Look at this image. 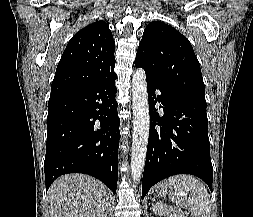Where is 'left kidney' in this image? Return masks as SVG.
Returning a JSON list of instances; mask_svg holds the SVG:
<instances>
[{
  "mask_svg": "<svg viewBox=\"0 0 253 217\" xmlns=\"http://www.w3.org/2000/svg\"><path fill=\"white\" fill-rule=\"evenodd\" d=\"M166 207V206H165ZM155 211H158V215L161 217L164 213H166V215L168 217H185L184 214H182L181 212H177L175 213V211L173 210H168L166 208H164L162 203H158V205L155 207L154 209ZM173 212V213H171Z\"/></svg>",
  "mask_w": 253,
  "mask_h": 217,
  "instance_id": "5707ae66",
  "label": "left kidney"
}]
</instances>
